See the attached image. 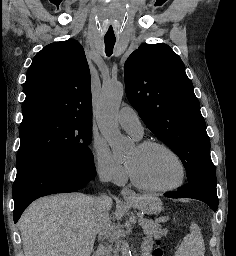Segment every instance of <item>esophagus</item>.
Instances as JSON below:
<instances>
[{"instance_id": "34e87169", "label": "esophagus", "mask_w": 236, "mask_h": 256, "mask_svg": "<svg viewBox=\"0 0 236 256\" xmlns=\"http://www.w3.org/2000/svg\"><path fill=\"white\" fill-rule=\"evenodd\" d=\"M121 194L125 200H132V199H136V197H137L135 191H133V189L127 188V187L123 188L121 190Z\"/></svg>"}]
</instances>
